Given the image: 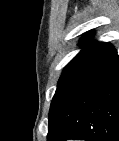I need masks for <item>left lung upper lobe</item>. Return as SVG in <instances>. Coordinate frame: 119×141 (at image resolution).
Returning a JSON list of instances; mask_svg holds the SVG:
<instances>
[{
  "mask_svg": "<svg viewBox=\"0 0 119 141\" xmlns=\"http://www.w3.org/2000/svg\"><path fill=\"white\" fill-rule=\"evenodd\" d=\"M91 34H87L82 43H87ZM103 43H89L84 46L81 52L64 68L63 73L59 79L56 93L61 91L66 85L80 75L86 67L95 59L98 55Z\"/></svg>",
  "mask_w": 119,
  "mask_h": 141,
  "instance_id": "1",
  "label": "left lung upper lobe"
}]
</instances>
